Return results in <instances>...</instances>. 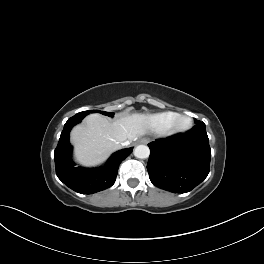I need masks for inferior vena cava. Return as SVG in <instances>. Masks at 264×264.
<instances>
[{
	"label": "inferior vena cava",
	"instance_id": "1",
	"mask_svg": "<svg viewBox=\"0 0 264 264\" xmlns=\"http://www.w3.org/2000/svg\"><path fill=\"white\" fill-rule=\"evenodd\" d=\"M129 144H130V141L129 140L123 141L121 143L122 146H128Z\"/></svg>",
	"mask_w": 264,
	"mask_h": 264
}]
</instances>
